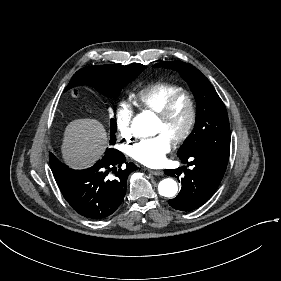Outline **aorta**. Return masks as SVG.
<instances>
[{"label": "aorta", "instance_id": "aorta-1", "mask_svg": "<svg viewBox=\"0 0 281 281\" xmlns=\"http://www.w3.org/2000/svg\"><path fill=\"white\" fill-rule=\"evenodd\" d=\"M134 135L147 137L154 135L155 119L150 113H141L132 122ZM159 194L165 197H174L178 191L177 182L172 178L163 179L158 186Z\"/></svg>", "mask_w": 281, "mask_h": 281}]
</instances>
